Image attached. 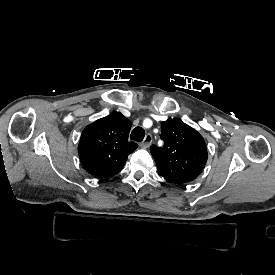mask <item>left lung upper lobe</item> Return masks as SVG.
<instances>
[{"mask_svg": "<svg viewBox=\"0 0 275 275\" xmlns=\"http://www.w3.org/2000/svg\"><path fill=\"white\" fill-rule=\"evenodd\" d=\"M160 137L163 147L150 148L158 173L179 185L196 179L208 158L203 137L181 120L171 118L162 122Z\"/></svg>", "mask_w": 275, "mask_h": 275, "instance_id": "left-lung-upper-lobe-1", "label": "left lung upper lobe"}]
</instances>
